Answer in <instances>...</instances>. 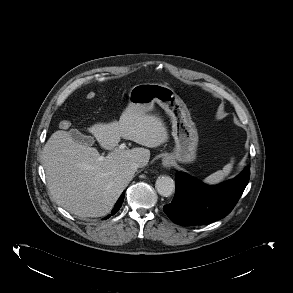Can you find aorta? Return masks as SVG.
I'll return each instance as SVG.
<instances>
[{"label": "aorta", "instance_id": "762f6f07", "mask_svg": "<svg viewBox=\"0 0 293 293\" xmlns=\"http://www.w3.org/2000/svg\"><path fill=\"white\" fill-rule=\"evenodd\" d=\"M155 188L161 196L169 197L175 190V182L169 176H160L156 180Z\"/></svg>", "mask_w": 293, "mask_h": 293}]
</instances>
